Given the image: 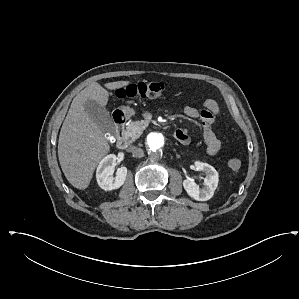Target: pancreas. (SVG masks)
I'll list each match as a JSON object with an SVG mask.
<instances>
[{"instance_id": "obj_1", "label": "pancreas", "mask_w": 299, "mask_h": 299, "mask_svg": "<svg viewBox=\"0 0 299 299\" xmlns=\"http://www.w3.org/2000/svg\"><path fill=\"white\" fill-rule=\"evenodd\" d=\"M146 126L147 122L144 120L131 122L127 125L126 130H123L122 136L129 142H134L140 137Z\"/></svg>"}]
</instances>
